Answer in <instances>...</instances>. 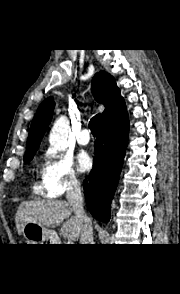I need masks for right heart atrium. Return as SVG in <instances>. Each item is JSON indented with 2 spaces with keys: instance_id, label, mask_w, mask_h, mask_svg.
<instances>
[{
  "instance_id": "right-heart-atrium-1",
  "label": "right heart atrium",
  "mask_w": 180,
  "mask_h": 294,
  "mask_svg": "<svg viewBox=\"0 0 180 294\" xmlns=\"http://www.w3.org/2000/svg\"><path fill=\"white\" fill-rule=\"evenodd\" d=\"M42 192L46 197L58 198L78 189L80 180L69 156L54 151L44 155L41 168Z\"/></svg>"
}]
</instances>
